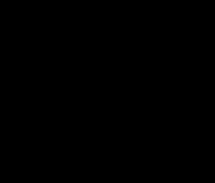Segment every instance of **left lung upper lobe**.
I'll use <instances>...</instances> for the list:
<instances>
[{
    "label": "left lung upper lobe",
    "mask_w": 215,
    "mask_h": 183,
    "mask_svg": "<svg viewBox=\"0 0 215 183\" xmlns=\"http://www.w3.org/2000/svg\"><path fill=\"white\" fill-rule=\"evenodd\" d=\"M131 45L155 92L154 103L174 118H180L191 102L195 86L188 53L169 35L157 28L139 23L116 29Z\"/></svg>",
    "instance_id": "obj_1"
}]
</instances>
